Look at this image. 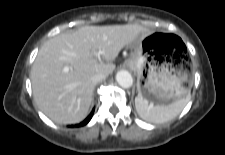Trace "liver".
Masks as SVG:
<instances>
[{"mask_svg": "<svg viewBox=\"0 0 225 155\" xmlns=\"http://www.w3.org/2000/svg\"><path fill=\"white\" fill-rule=\"evenodd\" d=\"M148 33L137 24L84 26L46 41L31 70L38 108L59 124L82 121L92 101L93 75L111 74L119 52Z\"/></svg>", "mask_w": 225, "mask_h": 155, "instance_id": "1", "label": "liver"}]
</instances>
